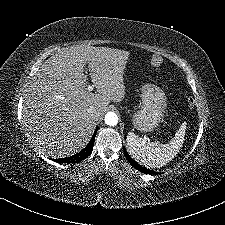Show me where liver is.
Segmentation results:
<instances>
[{
    "label": "liver",
    "instance_id": "1",
    "mask_svg": "<svg viewBox=\"0 0 225 225\" xmlns=\"http://www.w3.org/2000/svg\"><path fill=\"white\" fill-rule=\"evenodd\" d=\"M129 56L118 49L72 46L47 59L32 78L23 107L33 147L61 157L85 146L110 102L121 103L126 96ZM87 66L97 93L87 91ZM92 111L97 112L96 119Z\"/></svg>",
    "mask_w": 225,
    "mask_h": 225
}]
</instances>
